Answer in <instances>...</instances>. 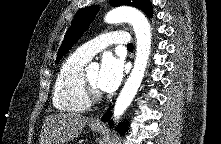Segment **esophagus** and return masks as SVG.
<instances>
[{"mask_svg":"<svg viewBox=\"0 0 221 144\" xmlns=\"http://www.w3.org/2000/svg\"><path fill=\"white\" fill-rule=\"evenodd\" d=\"M92 123H93V124H97V125L101 124V119H100V117H95V118H93V119H92Z\"/></svg>","mask_w":221,"mask_h":144,"instance_id":"obj_1","label":"esophagus"}]
</instances>
